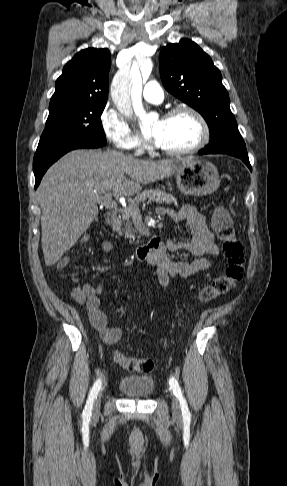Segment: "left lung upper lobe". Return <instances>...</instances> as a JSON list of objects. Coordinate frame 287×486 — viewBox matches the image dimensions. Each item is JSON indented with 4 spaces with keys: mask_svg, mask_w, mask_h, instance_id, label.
I'll list each match as a JSON object with an SVG mask.
<instances>
[{
    "mask_svg": "<svg viewBox=\"0 0 287 486\" xmlns=\"http://www.w3.org/2000/svg\"><path fill=\"white\" fill-rule=\"evenodd\" d=\"M160 76L165 89L197 110L210 130L204 154L248 156L245 142L230 110L222 76L211 58L195 42L181 39L160 51Z\"/></svg>",
    "mask_w": 287,
    "mask_h": 486,
    "instance_id": "1",
    "label": "left lung upper lobe"
}]
</instances>
